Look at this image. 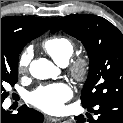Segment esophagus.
Wrapping results in <instances>:
<instances>
[{
    "instance_id": "esophagus-1",
    "label": "esophagus",
    "mask_w": 123,
    "mask_h": 123,
    "mask_svg": "<svg viewBox=\"0 0 123 123\" xmlns=\"http://www.w3.org/2000/svg\"><path fill=\"white\" fill-rule=\"evenodd\" d=\"M46 120L50 122H59L63 120V118L60 117H52V116H46Z\"/></svg>"
}]
</instances>
